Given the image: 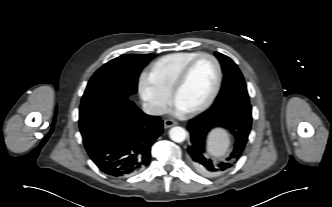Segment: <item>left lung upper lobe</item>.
Segmentation results:
<instances>
[{"mask_svg":"<svg viewBox=\"0 0 332 207\" xmlns=\"http://www.w3.org/2000/svg\"><path fill=\"white\" fill-rule=\"evenodd\" d=\"M215 55L222 65L224 79L221 91L212 107L234 101L249 102L246 84L237 65L221 53L215 52Z\"/></svg>","mask_w":332,"mask_h":207,"instance_id":"obj_1","label":"left lung upper lobe"}]
</instances>
